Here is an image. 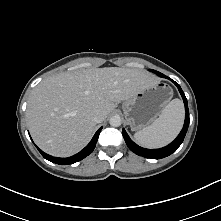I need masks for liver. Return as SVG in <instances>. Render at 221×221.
Returning <instances> with one entry per match:
<instances>
[{
	"label": "liver",
	"mask_w": 221,
	"mask_h": 221,
	"mask_svg": "<svg viewBox=\"0 0 221 221\" xmlns=\"http://www.w3.org/2000/svg\"><path fill=\"white\" fill-rule=\"evenodd\" d=\"M157 82L145 70L119 67L91 68L46 78L28 100L26 117L31 136L50 155L76 154L92 137L95 114L105 119L117 103Z\"/></svg>",
	"instance_id": "6515ba94"
}]
</instances>
